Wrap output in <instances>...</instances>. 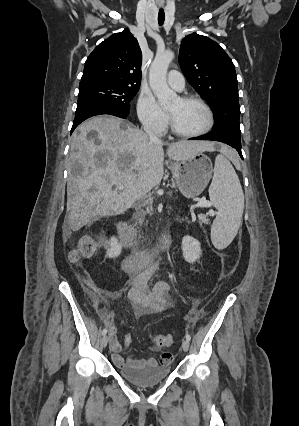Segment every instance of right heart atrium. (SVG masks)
Masks as SVG:
<instances>
[{"mask_svg":"<svg viewBox=\"0 0 299 426\" xmlns=\"http://www.w3.org/2000/svg\"><path fill=\"white\" fill-rule=\"evenodd\" d=\"M137 115L145 129L157 134L168 126V115L149 90H142L137 100Z\"/></svg>","mask_w":299,"mask_h":426,"instance_id":"right-heart-atrium-1","label":"right heart atrium"}]
</instances>
